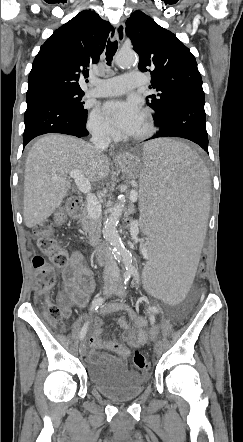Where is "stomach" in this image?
<instances>
[{
  "mask_svg": "<svg viewBox=\"0 0 243 442\" xmlns=\"http://www.w3.org/2000/svg\"><path fill=\"white\" fill-rule=\"evenodd\" d=\"M139 164V156L133 154H126L118 161V166L129 178H137Z\"/></svg>",
  "mask_w": 243,
  "mask_h": 442,
  "instance_id": "1",
  "label": "stomach"
}]
</instances>
